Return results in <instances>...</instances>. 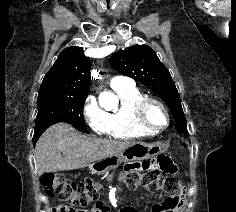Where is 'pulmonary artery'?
<instances>
[{"label":"pulmonary artery","instance_id":"1","mask_svg":"<svg viewBox=\"0 0 236 212\" xmlns=\"http://www.w3.org/2000/svg\"><path fill=\"white\" fill-rule=\"evenodd\" d=\"M130 84H132V81L129 78L123 76H114L110 80L111 88H118Z\"/></svg>","mask_w":236,"mask_h":212}]
</instances>
